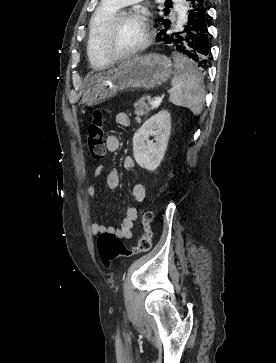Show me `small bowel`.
<instances>
[{"label":"small bowel","instance_id":"1","mask_svg":"<svg viewBox=\"0 0 276 363\" xmlns=\"http://www.w3.org/2000/svg\"><path fill=\"white\" fill-rule=\"evenodd\" d=\"M115 121L118 125L127 127L130 125V118L127 113L120 112L116 115ZM106 147L110 152H115L120 148V139L117 135L110 134L106 138ZM124 168L132 170L135 168V162L131 157H126L123 161ZM104 171L103 166H98L95 169V176L98 177ZM106 184L110 189L118 188L120 184V176L116 170H110L106 174ZM87 195L90 198L96 196V188L94 184H90L87 187ZM133 197L137 203H141L145 198L144 186L140 183L134 185L132 190ZM139 216V206L133 205L127 208L125 216L122 219L119 228L115 229L113 227H107L97 220H94L90 226L91 232L93 234L100 233H111L120 239H131L133 235L134 223Z\"/></svg>","mask_w":276,"mask_h":363}]
</instances>
